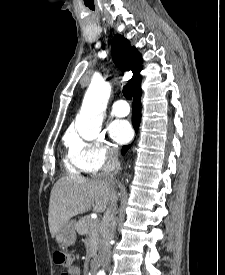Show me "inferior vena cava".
<instances>
[{
    "mask_svg": "<svg viewBox=\"0 0 225 275\" xmlns=\"http://www.w3.org/2000/svg\"><path fill=\"white\" fill-rule=\"evenodd\" d=\"M119 168L117 151L109 149L107 152V162L103 166L99 177L110 187V198L106 212L103 216V227L101 230V240L99 245V258L102 267L108 270L111 259V240L114 236L116 226L114 214L116 212L117 193L114 188V174Z\"/></svg>",
    "mask_w": 225,
    "mask_h": 275,
    "instance_id": "602c4592",
    "label": "inferior vena cava"
}]
</instances>
